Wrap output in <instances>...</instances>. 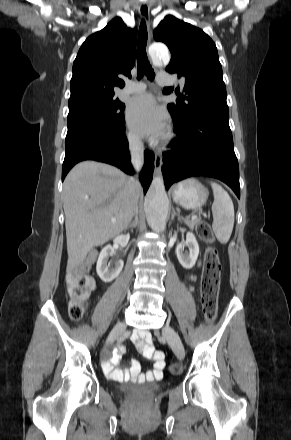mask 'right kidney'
Instances as JSON below:
<instances>
[{
  "label": "right kidney",
  "mask_w": 291,
  "mask_h": 440,
  "mask_svg": "<svg viewBox=\"0 0 291 440\" xmlns=\"http://www.w3.org/2000/svg\"><path fill=\"white\" fill-rule=\"evenodd\" d=\"M129 238V234L119 235L114 239V244L125 246ZM113 255L114 248L111 245H106L99 254L96 271L100 279L104 282H111L120 274L123 268L124 263L122 260H117L114 264L110 265L109 257Z\"/></svg>",
  "instance_id": "ca27d5eb"
}]
</instances>
